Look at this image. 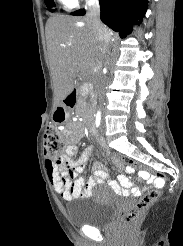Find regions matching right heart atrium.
Wrapping results in <instances>:
<instances>
[{"instance_id":"d8ad5b80","label":"right heart atrium","mask_w":183,"mask_h":246,"mask_svg":"<svg viewBox=\"0 0 183 246\" xmlns=\"http://www.w3.org/2000/svg\"><path fill=\"white\" fill-rule=\"evenodd\" d=\"M67 4L68 7H71V8H74V7H77L79 6L80 2L81 1H91V0H64Z\"/></svg>"}]
</instances>
